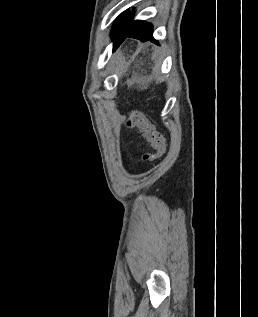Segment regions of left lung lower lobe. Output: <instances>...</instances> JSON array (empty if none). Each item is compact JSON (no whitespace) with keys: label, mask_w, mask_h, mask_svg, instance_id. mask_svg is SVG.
Here are the masks:
<instances>
[{"label":"left lung lower lobe","mask_w":258,"mask_h":317,"mask_svg":"<svg viewBox=\"0 0 258 317\" xmlns=\"http://www.w3.org/2000/svg\"><path fill=\"white\" fill-rule=\"evenodd\" d=\"M152 31L153 27L149 23L140 20L131 21L129 12V18L126 25L122 29L113 28L112 30L111 37L114 42L113 51H115L127 37L136 38L142 42L150 40L158 44V42L152 37Z\"/></svg>","instance_id":"obj_1"}]
</instances>
